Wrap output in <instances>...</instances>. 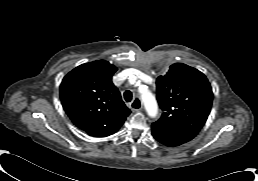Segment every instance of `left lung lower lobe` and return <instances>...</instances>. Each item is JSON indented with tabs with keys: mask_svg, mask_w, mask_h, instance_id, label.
Listing matches in <instances>:
<instances>
[{
	"mask_svg": "<svg viewBox=\"0 0 258 181\" xmlns=\"http://www.w3.org/2000/svg\"><path fill=\"white\" fill-rule=\"evenodd\" d=\"M152 135L160 143L166 146H178L186 143L192 139V137L169 131L167 129L158 127L152 124Z\"/></svg>",
	"mask_w": 258,
	"mask_h": 181,
	"instance_id": "left-lung-lower-lobe-1",
	"label": "left lung lower lobe"
}]
</instances>
